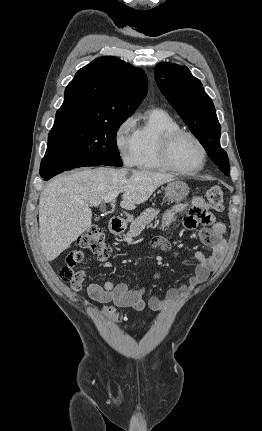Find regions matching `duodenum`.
<instances>
[{"mask_svg":"<svg viewBox=\"0 0 262 431\" xmlns=\"http://www.w3.org/2000/svg\"><path fill=\"white\" fill-rule=\"evenodd\" d=\"M109 227L113 234H119L123 232L125 224L121 218L113 217L109 222Z\"/></svg>","mask_w":262,"mask_h":431,"instance_id":"1","label":"duodenum"}]
</instances>
